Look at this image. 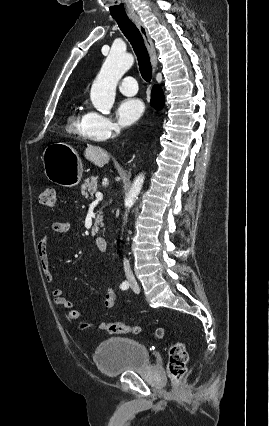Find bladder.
<instances>
[{"label": "bladder", "mask_w": 269, "mask_h": 426, "mask_svg": "<svg viewBox=\"0 0 269 426\" xmlns=\"http://www.w3.org/2000/svg\"><path fill=\"white\" fill-rule=\"evenodd\" d=\"M93 361L107 376L145 369L150 364L146 347L125 337H111L101 342L93 353Z\"/></svg>", "instance_id": "obj_1"}]
</instances>
